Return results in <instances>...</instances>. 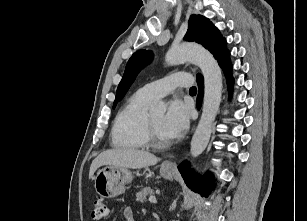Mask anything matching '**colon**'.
<instances>
[{"label": "colon", "instance_id": "1", "mask_svg": "<svg viewBox=\"0 0 307 221\" xmlns=\"http://www.w3.org/2000/svg\"><path fill=\"white\" fill-rule=\"evenodd\" d=\"M108 215V207L106 201L103 198H97L94 201V209L92 212V217L94 219H102Z\"/></svg>", "mask_w": 307, "mask_h": 221}]
</instances>
